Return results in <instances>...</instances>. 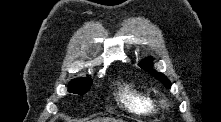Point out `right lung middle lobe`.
Wrapping results in <instances>:
<instances>
[{
    "mask_svg": "<svg viewBox=\"0 0 221 122\" xmlns=\"http://www.w3.org/2000/svg\"><path fill=\"white\" fill-rule=\"evenodd\" d=\"M91 84L92 80L89 78L75 79L69 84L68 91L70 93L83 95L90 89Z\"/></svg>",
    "mask_w": 221,
    "mask_h": 122,
    "instance_id": "1",
    "label": "right lung middle lobe"
}]
</instances>
